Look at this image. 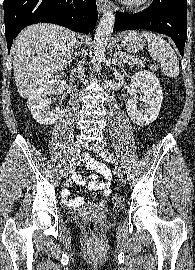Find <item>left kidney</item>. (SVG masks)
<instances>
[{"label":"left kidney","instance_id":"5707ae66","mask_svg":"<svg viewBox=\"0 0 195 270\" xmlns=\"http://www.w3.org/2000/svg\"><path fill=\"white\" fill-rule=\"evenodd\" d=\"M130 95L126 104L130 119L141 126L154 122L163 100L162 88L156 75L146 70L135 73L131 78ZM138 100L144 103V110L138 109Z\"/></svg>","mask_w":195,"mask_h":270}]
</instances>
